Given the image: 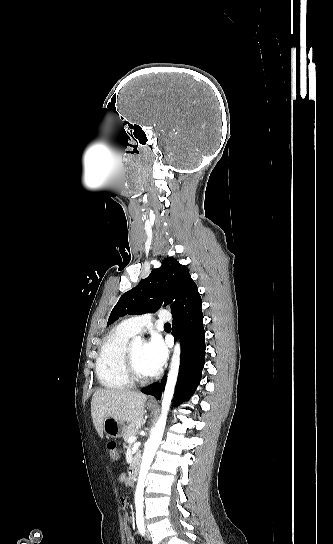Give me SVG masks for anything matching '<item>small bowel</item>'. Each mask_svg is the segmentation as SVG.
Masks as SVG:
<instances>
[{"instance_id":"obj_1","label":"small bowel","mask_w":333,"mask_h":544,"mask_svg":"<svg viewBox=\"0 0 333 544\" xmlns=\"http://www.w3.org/2000/svg\"><path fill=\"white\" fill-rule=\"evenodd\" d=\"M119 482L123 484L124 486H131V481L127 478L125 474H121L118 478ZM120 506L121 510L123 512V515L125 516L127 514L126 507H127V500L125 498L120 499ZM126 542L127 544H135L134 537L130 531L126 532Z\"/></svg>"}]
</instances>
